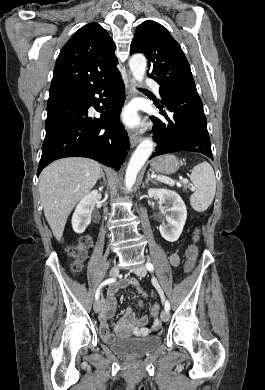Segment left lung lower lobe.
<instances>
[{"label":"left lung lower lobe","mask_w":265,"mask_h":390,"mask_svg":"<svg viewBox=\"0 0 265 390\" xmlns=\"http://www.w3.org/2000/svg\"><path fill=\"white\" fill-rule=\"evenodd\" d=\"M159 93L166 111L159 103L156 107L165 120L151 117L157 146L150 159L178 151L198 152L213 159L203 104L196 88L159 90Z\"/></svg>","instance_id":"obj_1"}]
</instances>
